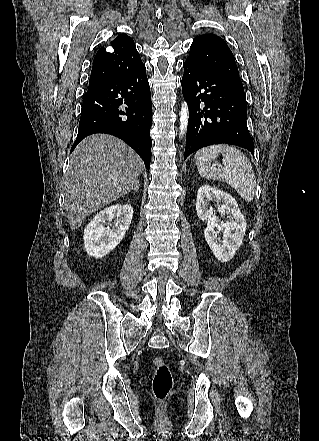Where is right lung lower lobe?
<instances>
[{"label":"right lung lower lobe","instance_id":"98d812e1","mask_svg":"<svg viewBox=\"0 0 319 441\" xmlns=\"http://www.w3.org/2000/svg\"><path fill=\"white\" fill-rule=\"evenodd\" d=\"M123 104L127 106L123 108ZM151 112L150 87L142 64L86 92L72 150L88 135L111 134L132 147L149 169Z\"/></svg>","mask_w":319,"mask_h":441}]
</instances>
